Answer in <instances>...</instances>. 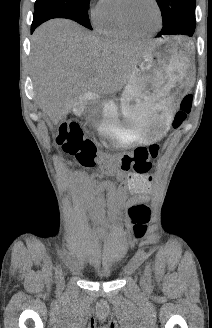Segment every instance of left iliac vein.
I'll return each instance as SVG.
<instances>
[{
    "label": "left iliac vein",
    "instance_id": "1",
    "mask_svg": "<svg viewBox=\"0 0 212 328\" xmlns=\"http://www.w3.org/2000/svg\"><path fill=\"white\" fill-rule=\"evenodd\" d=\"M141 281H142V283H146V281H147V278H146V275L145 274H143L142 275V277H141Z\"/></svg>",
    "mask_w": 212,
    "mask_h": 328
}]
</instances>
